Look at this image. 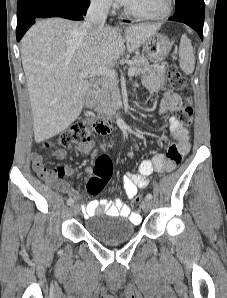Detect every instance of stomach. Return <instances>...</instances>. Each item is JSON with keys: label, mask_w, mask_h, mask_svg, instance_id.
Returning a JSON list of instances; mask_svg holds the SVG:
<instances>
[{"label": "stomach", "mask_w": 227, "mask_h": 298, "mask_svg": "<svg viewBox=\"0 0 227 298\" xmlns=\"http://www.w3.org/2000/svg\"><path fill=\"white\" fill-rule=\"evenodd\" d=\"M172 48V43L163 34L156 33L144 44L143 51L153 61H163L168 56Z\"/></svg>", "instance_id": "obj_1"}]
</instances>
